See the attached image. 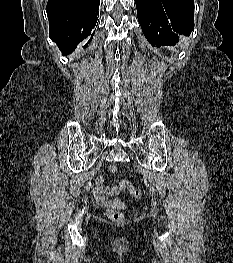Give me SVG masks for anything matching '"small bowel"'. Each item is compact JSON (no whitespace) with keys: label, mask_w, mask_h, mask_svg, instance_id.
I'll use <instances>...</instances> for the list:
<instances>
[{"label":"small bowel","mask_w":233,"mask_h":263,"mask_svg":"<svg viewBox=\"0 0 233 263\" xmlns=\"http://www.w3.org/2000/svg\"><path fill=\"white\" fill-rule=\"evenodd\" d=\"M105 180L104 176L96 178V187L93 194L97 203L108 209H122L124 203L116 197L120 190L117 187L105 186Z\"/></svg>","instance_id":"small-bowel-1"}]
</instances>
